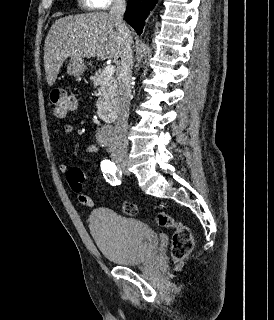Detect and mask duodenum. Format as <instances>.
<instances>
[{"label": "duodenum", "mask_w": 274, "mask_h": 320, "mask_svg": "<svg viewBox=\"0 0 274 320\" xmlns=\"http://www.w3.org/2000/svg\"><path fill=\"white\" fill-rule=\"evenodd\" d=\"M117 110L116 109H105L102 108L98 111V117L102 122H114L117 118Z\"/></svg>", "instance_id": "410a0bca"}]
</instances>
